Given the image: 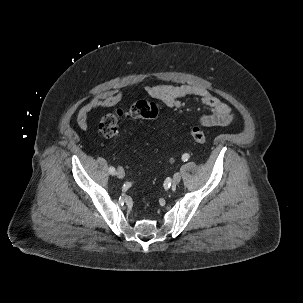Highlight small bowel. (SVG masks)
<instances>
[{
  "label": "small bowel",
  "instance_id": "1",
  "mask_svg": "<svg viewBox=\"0 0 303 303\" xmlns=\"http://www.w3.org/2000/svg\"><path fill=\"white\" fill-rule=\"evenodd\" d=\"M147 93L154 99L160 100L167 107L180 111L184 104L183 99L196 97L207 109L199 117V123L206 127L227 126L234 120L230 107L213 95L208 89L191 86L154 85L146 88ZM123 98V92L115 89L99 93L83 104L77 114V124L80 129L88 128V115L97 108L112 107Z\"/></svg>",
  "mask_w": 303,
  "mask_h": 303
}]
</instances>
